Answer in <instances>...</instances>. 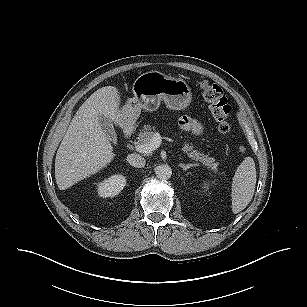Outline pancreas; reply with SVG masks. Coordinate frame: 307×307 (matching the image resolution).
<instances>
[{"label":"pancreas","mask_w":307,"mask_h":307,"mask_svg":"<svg viewBox=\"0 0 307 307\" xmlns=\"http://www.w3.org/2000/svg\"><path fill=\"white\" fill-rule=\"evenodd\" d=\"M155 133V127L150 125H144L143 129L140 131L138 135V141L136 145H143L145 143L150 142L153 134ZM182 151L188 155L189 158L202 162L208 169L216 172L218 163H215V159L209 157L208 155L201 154L200 152L193 150V146L189 144H184ZM197 165V164H196Z\"/></svg>","instance_id":"pancreas-1"}]
</instances>
